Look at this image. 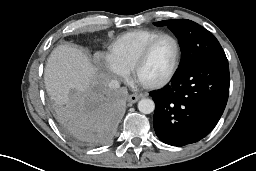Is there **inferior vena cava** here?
I'll use <instances>...</instances> for the list:
<instances>
[{
  "mask_svg": "<svg viewBox=\"0 0 256 171\" xmlns=\"http://www.w3.org/2000/svg\"><path fill=\"white\" fill-rule=\"evenodd\" d=\"M108 86L111 88V89H118L120 87V83L118 80H111L108 84Z\"/></svg>",
  "mask_w": 256,
  "mask_h": 171,
  "instance_id": "obj_1",
  "label": "inferior vena cava"
}]
</instances>
